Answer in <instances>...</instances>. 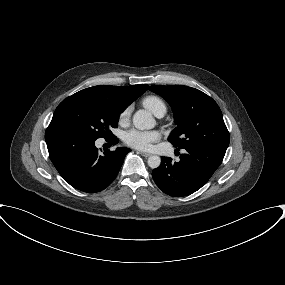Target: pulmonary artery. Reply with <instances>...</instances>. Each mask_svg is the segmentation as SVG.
I'll return each mask as SVG.
<instances>
[{"mask_svg":"<svg viewBox=\"0 0 285 285\" xmlns=\"http://www.w3.org/2000/svg\"><path fill=\"white\" fill-rule=\"evenodd\" d=\"M164 114H165V112L160 111V112H158V113L156 114V116L159 117V118H161V117L164 116Z\"/></svg>","mask_w":285,"mask_h":285,"instance_id":"e3ab8cb5","label":"pulmonary artery"}]
</instances>
